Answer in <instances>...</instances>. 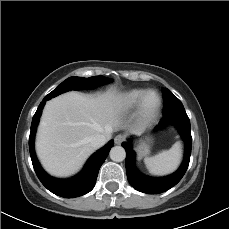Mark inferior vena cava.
Segmentation results:
<instances>
[{"label":"inferior vena cava","instance_id":"1","mask_svg":"<svg viewBox=\"0 0 229 229\" xmlns=\"http://www.w3.org/2000/svg\"><path fill=\"white\" fill-rule=\"evenodd\" d=\"M107 141V138L103 134H97L90 139V144L94 149L100 148Z\"/></svg>","mask_w":229,"mask_h":229}]
</instances>
